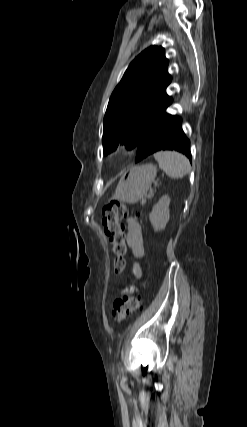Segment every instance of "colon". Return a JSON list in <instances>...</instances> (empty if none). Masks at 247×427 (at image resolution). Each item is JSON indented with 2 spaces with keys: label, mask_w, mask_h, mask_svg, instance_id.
<instances>
[{
  "label": "colon",
  "mask_w": 247,
  "mask_h": 427,
  "mask_svg": "<svg viewBox=\"0 0 247 427\" xmlns=\"http://www.w3.org/2000/svg\"><path fill=\"white\" fill-rule=\"evenodd\" d=\"M128 215L126 205L112 201L104 206L102 211V225L112 253L114 255L113 272L122 273L125 269L127 254L126 236L122 220ZM142 308V297L135 286H131L129 294L116 299L113 304L112 316L116 321H122Z\"/></svg>",
  "instance_id": "5ec220e1"
}]
</instances>
